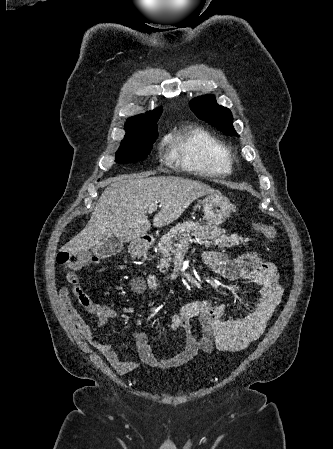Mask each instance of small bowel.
Returning a JSON list of instances; mask_svg holds the SVG:
<instances>
[{
    "label": "small bowel",
    "mask_w": 333,
    "mask_h": 449,
    "mask_svg": "<svg viewBox=\"0 0 333 449\" xmlns=\"http://www.w3.org/2000/svg\"><path fill=\"white\" fill-rule=\"evenodd\" d=\"M204 265L229 280H243L259 288L260 299L256 308L243 317L224 319L225 305L220 302L203 300L184 303L172 318L171 328L182 330L185 345L181 352L158 358L154 355L147 334L137 331L128 340L136 346L138 356L134 360H121L112 345L100 341L90 326L83 320L71 304L70 292L88 312L98 313L102 322L117 316L111 308L100 307L93 302L80 285L75 271L66 274L69 286L60 289L59 303L68 319L77 326L80 334L98 351L120 375L133 371L140 363L152 368L168 369L185 364L199 352L209 354L214 348L224 351H239L255 341L265 330L275 308L283 296V287L276 267L257 255L229 260L218 251L203 254ZM198 318L202 323V333L196 338L191 331L190 321Z\"/></svg>",
    "instance_id": "1"
}]
</instances>
